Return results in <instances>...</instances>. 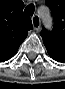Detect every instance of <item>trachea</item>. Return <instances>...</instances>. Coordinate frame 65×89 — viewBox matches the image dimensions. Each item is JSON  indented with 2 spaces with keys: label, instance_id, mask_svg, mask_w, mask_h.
<instances>
[{
  "label": "trachea",
  "instance_id": "1",
  "mask_svg": "<svg viewBox=\"0 0 65 89\" xmlns=\"http://www.w3.org/2000/svg\"><path fill=\"white\" fill-rule=\"evenodd\" d=\"M25 14L28 16H32L35 12V6L33 4H29L25 10H24Z\"/></svg>",
  "mask_w": 65,
  "mask_h": 89
}]
</instances>
